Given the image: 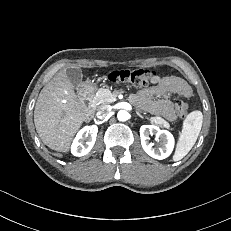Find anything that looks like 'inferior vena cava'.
Masks as SVG:
<instances>
[{
  "label": "inferior vena cava",
  "mask_w": 231,
  "mask_h": 231,
  "mask_svg": "<svg viewBox=\"0 0 231 231\" xmlns=\"http://www.w3.org/2000/svg\"><path fill=\"white\" fill-rule=\"evenodd\" d=\"M111 111V107L109 105H101L97 108V117L100 119L105 118Z\"/></svg>",
  "instance_id": "1"
}]
</instances>
